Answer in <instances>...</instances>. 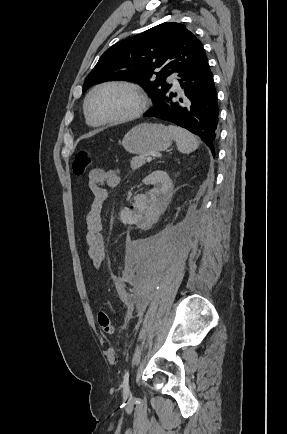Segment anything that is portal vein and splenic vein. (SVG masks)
I'll return each instance as SVG.
<instances>
[{
  "label": "portal vein and splenic vein",
  "instance_id": "1",
  "mask_svg": "<svg viewBox=\"0 0 287 434\" xmlns=\"http://www.w3.org/2000/svg\"><path fill=\"white\" fill-rule=\"evenodd\" d=\"M146 161H147V162H151V161H152V157H151V156H147V157H146Z\"/></svg>",
  "mask_w": 287,
  "mask_h": 434
}]
</instances>
